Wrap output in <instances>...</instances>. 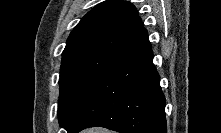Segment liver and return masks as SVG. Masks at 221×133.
Here are the masks:
<instances>
[{"label":"liver","instance_id":"6515ba94","mask_svg":"<svg viewBox=\"0 0 221 133\" xmlns=\"http://www.w3.org/2000/svg\"><path fill=\"white\" fill-rule=\"evenodd\" d=\"M83 133H108L107 130L104 129H89L85 130Z\"/></svg>","mask_w":221,"mask_h":133}]
</instances>
